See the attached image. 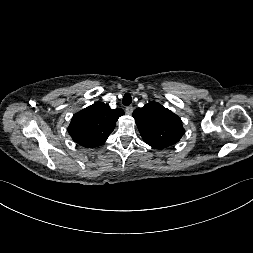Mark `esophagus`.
I'll return each mask as SVG.
<instances>
[{
    "instance_id": "1",
    "label": "esophagus",
    "mask_w": 253,
    "mask_h": 253,
    "mask_svg": "<svg viewBox=\"0 0 253 253\" xmlns=\"http://www.w3.org/2000/svg\"><path fill=\"white\" fill-rule=\"evenodd\" d=\"M125 111H126V113H127L128 115H130V114H132V112H133V107H132V106H128V107H126Z\"/></svg>"
}]
</instances>
